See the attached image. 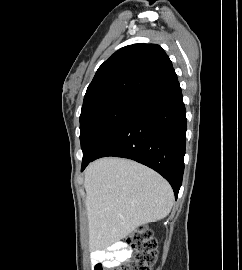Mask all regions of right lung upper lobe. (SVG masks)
Instances as JSON below:
<instances>
[{
	"mask_svg": "<svg viewBox=\"0 0 242 270\" xmlns=\"http://www.w3.org/2000/svg\"><path fill=\"white\" fill-rule=\"evenodd\" d=\"M176 79L172 62L159 45L123 47L98 68L81 112L119 100L138 103Z\"/></svg>",
	"mask_w": 242,
	"mask_h": 270,
	"instance_id": "obj_1",
	"label": "right lung upper lobe"
}]
</instances>
